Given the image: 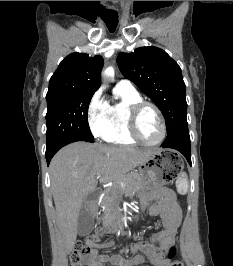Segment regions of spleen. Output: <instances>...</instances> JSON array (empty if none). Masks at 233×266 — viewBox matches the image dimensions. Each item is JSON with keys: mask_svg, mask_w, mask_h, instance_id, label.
Wrapping results in <instances>:
<instances>
[{"mask_svg": "<svg viewBox=\"0 0 233 266\" xmlns=\"http://www.w3.org/2000/svg\"><path fill=\"white\" fill-rule=\"evenodd\" d=\"M176 187H177L178 193H180L182 195H184L188 192L189 183H188V178H187L186 173H182L179 176V178L176 181Z\"/></svg>", "mask_w": 233, "mask_h": 266, "instance_id": "obj_1", "label": "spleen"}]
</instances>
